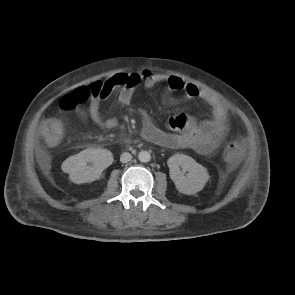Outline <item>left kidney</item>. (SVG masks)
Listing matches in <instances>:
<instances>
[{"label": "left kidney", "mask_w": 295, "mask_h": 295, "mask_svg": "<svg viewBox=\"0 0 295 295\" xmlns=\"http://www.w3.org/2000/svg\"><path fill=\"white\" fill-rule=\"evenodd\" d=\"M170 178L177 190L186 195H193L201 191L209 179L205 167L193 158L184 154H175L167 161ZM185 172H188L185 176Z\"/></svg>", "instance_id": "obj_1"}]
</instances>
